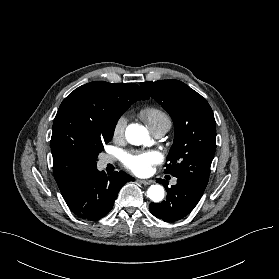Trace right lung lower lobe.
<instances>
[{
  "instance_id": "1",
  "label": "right lung lower lobe",
  "mask_w": 279,
  "mask_h": 279,
  "mask_svg": "<svg viewBox=\"0 0 279 279\" xmlns=\"http://www.w3.org/2000/svg\"><path fill=\"white\" fill-rule=\"evenodd\" d=\"M129 181H134V178L123 171L107 176L104 171H98L96 165L89 166L63 198L77 217L98 220L113 208L120 188Z\"/></svg>"
}]
</instances>
